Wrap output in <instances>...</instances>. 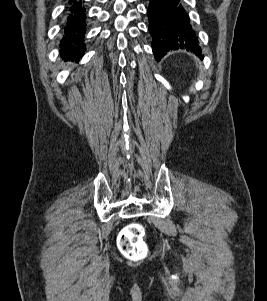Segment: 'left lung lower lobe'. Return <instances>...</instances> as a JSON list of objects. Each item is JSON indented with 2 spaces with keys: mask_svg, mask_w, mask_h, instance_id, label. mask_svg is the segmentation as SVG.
I'll return each instance as SVG.
<instances>
[{
  "mask_svg": "<svg viewBox=\"0 0 267 301\" xmlns=\"http://www.w3.org/2000/svg\"><path fill=\"white\" fill-rule=\"evenodd\" d=\"M147 14L156 60L176 49H185L203 58L197 36L180 0H150Z\"/></svg>",
  "mask_w": 267,
  "mask_h": 301,
  "instance_id": "left-lung-lower-lobe-1",
  "label": "left lung lower lobe"
}]
</instances>
